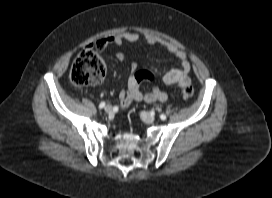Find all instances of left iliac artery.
<instances>
[{"mask_svg": "<svg viewBox=\"0 0 272 198\" xmlns=\"http://www.w3.org/2000/svg\"><path fill=\"white\" fill-rule=\"evenodd\" d=\"M160 118H161V120H165V119H166V115L161 114V115H160Z\"/></svg>", "mask_w": 272, "mask_h": 198, "instance_id": "44dca946", "label": "left iliac artery"}]
</instances>
